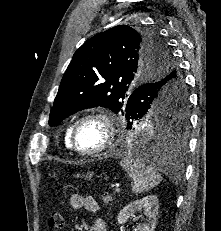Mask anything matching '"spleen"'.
<instances>
[{
	"instance_id": "1",
	"label": "spleen",
	"mask_w": 221,
	"mask_h": 231,
	"mask_svg": "<svg viewBox=\"0 0 221 231\" xmlns=\"http://www.w3.org/2000/svg\"><path fill=\"white\" fill-rule=\"evenodd\" d=\"M120 166L133 179L132 191L134 193L148 192L161 182V176L157 173L152 162L146 163L144 160L127 156L121 160Z\"/></svg>"
}]
</instances>
